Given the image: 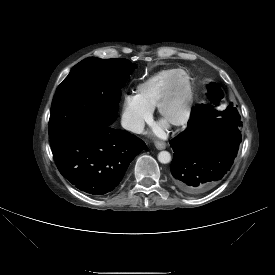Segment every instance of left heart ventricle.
<instances>
[{"mask_svg":"<svg viewBox=\"0 0 275 275\" xmlns=\"http://www.w3.org/2000/svg\"><path fill=\"white\" fill-rule=\"evenodd\" d=\"M186 94L185 78L182 74H179L176 78V85L172 96L165 108V116L167 119L177 118L182 111L183 103Z\"/></svg>","mask_w":275,"mask_h":275,"instance_id":"1","label":"left heart ventricle"}]
</instances>
